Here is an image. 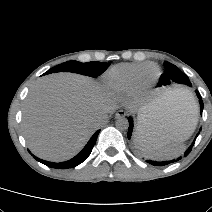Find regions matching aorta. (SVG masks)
Masks as SVG:
<instances>
[{"instance_id":"1","label":"aorta","mask_w":212,"mask_h":212,"mask_svg":"<svg viewBox=\"0 0 212 212\" xmlns=\"http://www.w3.org/2000/svg\"><path fill=\"white\" fill-rule=\"evenodd\" d=\"M116 128L119 130H127L129 127V122L125 117H118L115 122Z\"/></svg>"}]
</instances>
